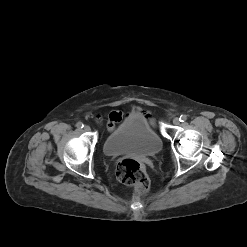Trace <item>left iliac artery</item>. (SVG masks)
Wrapping results in <instances>:
<instances>
[{"instance_id":"obj_1","label":"left iliac artery","mask_w":247,"mask_h":247,"mask_svg":"<svg viewBox=\"0 0 247 247\" xmlns=\"http://www.w3.org/2000/svg\"><path fill=\"white\" fill-rule=\"evenodd\" d=\"M179 120H180V122H185L187 120V116L186 115H181Z\"/></svg>"}]
</instances>
